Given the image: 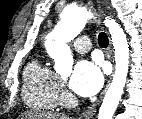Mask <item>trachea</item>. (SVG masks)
<instances>
[{
	"mask_svg": "<svg viewBox=\"0 0 142 119\" xmlns=\"http://www.w3.org/2000/svg\"><path fill=\"white\" fill-rule=\"evenodd\" d=\"M98 43L101 47H107L108 46L109 40H108L107 35L104 32H101L98 35Z\"/></svg>",
	"mask_w": 142,
	"mask_h": 119,
	"instance_id": "3493384b",
	"label": "trachea"
}]
</instances>
